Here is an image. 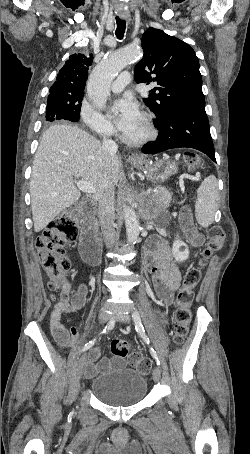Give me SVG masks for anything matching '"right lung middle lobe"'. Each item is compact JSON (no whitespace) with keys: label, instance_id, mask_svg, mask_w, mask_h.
<instances>
[{"label":"right lung middle lobe","instance_id":"obj_1","mask_svg":"<svg viewBox=\"0 0 250 454\" xmlns=\"http://www.w3.org/2000/svg\"><path fill=\"white\" fill-rule=\"evenodd\" d=\"M84 94L77 97H61L56 94L48 95L46 107V121L69 120L77 122L80 118L79 112Z\"/></svg>","mask_w":250,"mask_h":454}]
</instances>
